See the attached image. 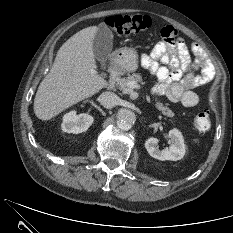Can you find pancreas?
<instances>
[{
  "mask_svg": "<svg viewBox=\"0 0 233 233\" xmlns=\"http://www.w3.org/2000/svg\"><path fill=\"white\" fill-rule=\"evenodd\" d=\"M130 81H135L136 83L143 84L142 76L140 74L134 73L132 75H129L124 78H120L117 80V87L122 91L128 90V83ZM155 107L162 112L163 115H166L167 117H173L174 112L168 108L167 106H164L158 99H155Z\"/></svg>",
  "mask_w": 233,
  "mask_h": 233,
  "instance_id": "obj_1",
  "label": "pancreas"
}]
</instances>
